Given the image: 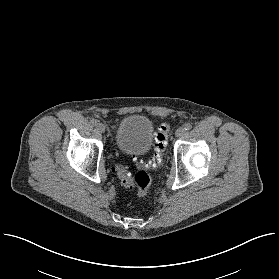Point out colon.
Returning a JSON list of instances; mask_svg holds the SVG:
<instances>
[{"mask_svg":"<svg viewBox=\"0 0 279 279\" xmlns=\"http://www.w3.org/2000/svg\"><path fill=\"white\" fill-rule=\"evenodd\" d=\"M171 125L168 122L161 123L154 133L155 155L150 161H143L138 155L133 156V161L143 169H158L162 165L166 151L167 138ZM114 171L120 178L122 184L127 188H135L140 194H146L149 188V180L143 175H132L121 160L114 163Z\"/></svg>","mask_w":279,"mask_h":279,"instance_id":"5ec220e1","label":"colon"}]
</instances>
